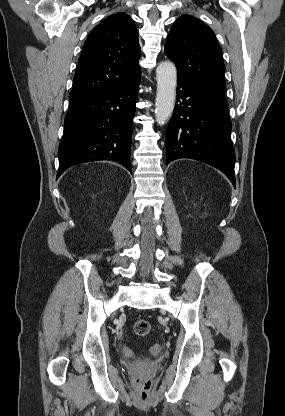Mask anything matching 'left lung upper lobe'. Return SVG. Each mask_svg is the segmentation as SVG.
<instances>
[{"mask_svg": "<svg viewBox=\"0 0 285 416\" xmlns=\"http://www.w3.org/2000/svg\"><path fill=\"white\" fill-rule=\"evenodd\" d=\"M165 54L175 62L178 80L225 98L222 51L203 22L190 15L179 17L168 34Z\"/></svg>", "mask_w": 285, "mask_h": 416, "instance_id": "obj_1", "label": "left lung upper lobe"}]
</instances>
